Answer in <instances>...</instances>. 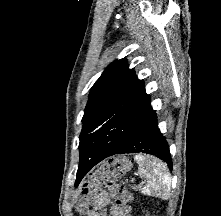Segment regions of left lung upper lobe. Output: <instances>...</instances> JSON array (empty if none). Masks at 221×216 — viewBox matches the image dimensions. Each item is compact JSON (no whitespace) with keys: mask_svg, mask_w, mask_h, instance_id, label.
<instances>
[{"mask_svg":"<svg viewBox=\"0 0 221 216\" xmlns=\"http://www.w3.org/2000/svg\"><path fill=\"white\" fill-rule=\"evenodd\" d=\"M144 83L125 59L111 63L93 85L83 116L81 154L96 145L120 149L151 113Z\"/></svg>","mask_w":221,"mask_h":216,"instance_id":"5c2ea615","label":"left lung upper lobe"}]
</instances>
